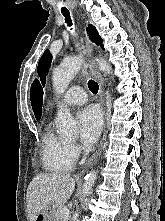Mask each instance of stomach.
I'll return each instance as SVG.
<instances>
[{
	"mask_svg": "<svg viewBox=\"0 0 165 221\" xmlns=\"http://www.w3.org/2000/svg\"><path fill=\"white\" fill-rule=\"evenodd\" d=\"M55 208L53 205L48 206L37 215L35 221H54Z\"/></svg>",
	"mask_w": 165,
	"mask_h": 221,
	"instance_id": "0dacf381",
	"label": "stomach"
}]
</instances>
